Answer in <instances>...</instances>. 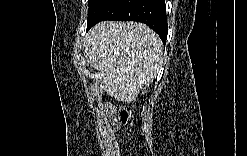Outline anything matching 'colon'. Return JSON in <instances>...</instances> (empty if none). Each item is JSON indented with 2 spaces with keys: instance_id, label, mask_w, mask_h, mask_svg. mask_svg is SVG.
Listing matches in <instances>:
<instances>
[{
  "instance_id": "colon-1",
  "label": "colon",
  "mask_w": 247,
  "mask_h": 156,
  "mask_svg": "<svg viewBox=\"0 0 247 156\" xmlns=\"http://www.w3.org/2000/svg\"><path fill=\"white\" fill-rule=\"evenodd\" d=\"M120 118H121V121L124 123V124H128L130 123L131 121V118H132V113L129 109L127 108H124L121 112V115H120ZM132 140V136H130L128 138V141Z\"/></svg>"
}]
</instances>
